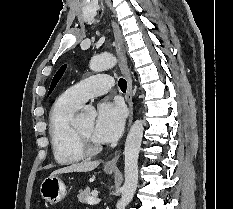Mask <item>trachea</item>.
I'll list each match as a JSON object with an SVG mask.
<instances>
[{
  "instance_id": "3493384b",
  "label": "trachea",
  "mask_w": 233,
  "mask_h": 209,
  "mask_svg": "<svg viewBox=\"0 0 233 209\" xmlns=\"http://www.w3.org/2000/svg\"><path fill=\"white\" fill-rule=\"evenodd\" d=\"M118 85L121 89L122 92H126V89H127V82L124 78H120L119 81H118Z\"/></svg>"
}]
</instances>
